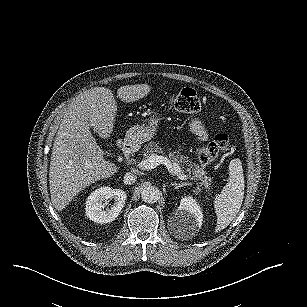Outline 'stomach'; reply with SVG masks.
Here are the masks:
<instances>
[{
    "label": "stomach",
    "mask_w": 307,
    "mask_h": 307,
    "mask_svg": "<svg viewBox=\"0 0 307 307\" xmlns=\"http://www.w3.org/2000/svg\"><path fill=\"white\" fill-rule=\"evenodd\" d=\"M159 120V116L153 115L147 119L145 125H135L129 128L124 141L131 145H141L151 140L156 135Z\"/></svg>",
    "instance_id": "0dacf381"
}]
</instances>
